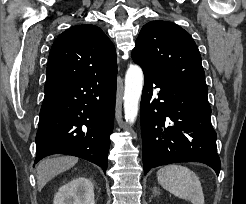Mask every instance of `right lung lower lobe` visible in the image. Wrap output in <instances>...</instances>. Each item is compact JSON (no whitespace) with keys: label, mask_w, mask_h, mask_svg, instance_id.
<instances>
[{"label":"right lung lower lobe","mask_w":246,"mask_h":204,"mask_svg":"<svg viewBox=\"0 0 246 204\" xmlns=\"http://www.w3.org/2000/svg\"><path fill=\"white\" fill-rule=\"evenodd\" d=\"M117 71L47 82L36 135L35 163L73 155L107 169Z\"/></svg>","instance_id":"1"}]
</instances>
